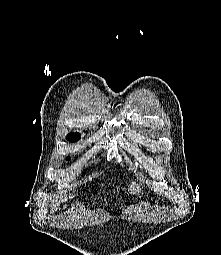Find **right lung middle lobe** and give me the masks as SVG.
Here are the masks:
<instances>
[{"mask_svg": "<svg viewBox=\"0 0 221 255\" xmlns=\"http://www.w3.org/2000/svg\"><path fill=\"white\" fill-rule=\"evenodd\" d=\"M69 141L71 142H76L80 139L79 134L78 133H70L68 134V136L66 137Z\"/></svg>", "mask_w": 221, "mask_h": 255, "instance_id": "right-lung-middle-lobe-1", "label": "right lung middle lobe"}]
</instances>
